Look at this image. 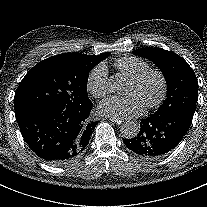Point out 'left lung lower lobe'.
I'll list each match as a JSON object with an SVG mask.
<instances>
[{"mask_svg":"<svg viewBox=\"0 0 207 207\" xmlns=\"http://www.w3.org/2000/svg\"><path fill=\"white\" fill-rule=\"evenodd\" d=\"M191 121L180 114H152L140 124L138 135L124 139L126 147L145 158H157L174 149L182 140Z\"/></svg>","mask_w":207,"mask_h":207,"instance_id":"1","label":"left lung lower lobe"}]
</instances>
